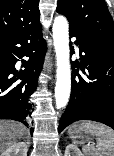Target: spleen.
Here are the masks:
<instances>
[{
    "label": "spleen",
    "instance_id": "spleen-1",
    "mask_svg": "<svg viewBox=\"0 0 114 156\" xmlns=\"http://www.w3.org/2000/svg\"><path fill=\"white\" fill-rule=\"evenodd\" d=\"M81 126L84 131L96 136V147H83L85 156H114V130L93 121H84Z\"/></svg>",
    "mask_w": 114,
    "mask_h": 156
}]
</instances>
